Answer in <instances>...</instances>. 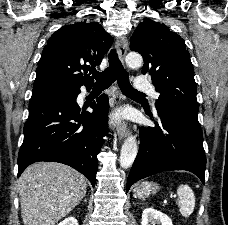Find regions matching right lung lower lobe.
<instances>
[{
    "instance_id": "98d812e1",
    "label": "right lung lower lobe",
    "mask_w": 228,
    "mask_h": 225,
    "mask_svg": "<svg viewBox=\"0 0 228 225\" xmlns=\"http://www.w3.org/2000/svg\"><path fill=\"white\" fill-rule=\"evenodd\" d=\"M79 93L80 88L31 99L18 155V177L34 162H60L81 172L95 186L97 155L108 128V97L97 98L91 104L92 113H81L76 104Z\"/></svg>"
}]
</instances>
